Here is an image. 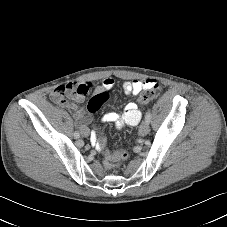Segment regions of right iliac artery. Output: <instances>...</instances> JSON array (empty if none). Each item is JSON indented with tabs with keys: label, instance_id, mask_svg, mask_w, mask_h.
<instances>
[{
	"label": "right iliac artery",
	"instance_id": "right-iliac-artery-1",
	"mask_svg": "<svg viewBox=\"0 0 227 227\" xmlns=\"http://www.w3.org/2000/svg\"><path fill=\"white\" fill-rule=\"evenodd\" d=\"M74 137H75V138H79V137H80L79 132L75 131V132H74Z\"/></svg>",
	"mask_w": 227,
	"mask_h": 227
}]
</instances>
